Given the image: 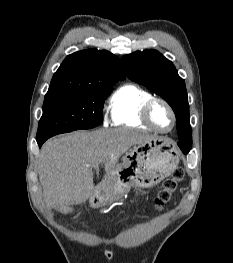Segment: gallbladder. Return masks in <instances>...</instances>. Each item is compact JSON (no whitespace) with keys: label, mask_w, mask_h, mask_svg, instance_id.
I'll list each match as a JSON object with an SVG mask.
<instances>
[{"label":"gallbladder","mask_w":233,"mask_h":263,"mask_svg":"<svg viewBox=\"0 0 233 263\" xmlns=\"http://www.w3.org/2000/svg\"><path fill=\"white\" fill-rule=\"evenodd\" d=\"M59 211L63 214H68L71 213L73 211V208L71 207H62L59 209Z\"/></svg>","instance_id":"bac80fb5"}]
</instances>
